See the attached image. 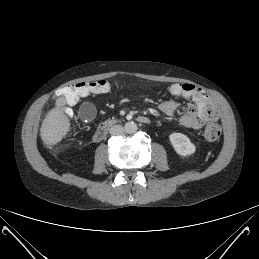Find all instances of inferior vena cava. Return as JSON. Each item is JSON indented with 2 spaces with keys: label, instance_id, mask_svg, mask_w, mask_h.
<instances>
[{
  "label": "inferior vena cava",
  "instance_id": "inferior-vena-cava-1",
  "mask_svg": "<svg viewBox=\"0 0 259 259\" xmlns=\"http://www.w3.org/2000/svg\"><path fill=\"white\" fill-rule=\"evenodd\" d=\"M125 129L121 125H114L110 128L109 133L114 136L123 135Z\"/></svg>",
  "mask_w": 259,
  "mask_h": 259
}]
</instances>
